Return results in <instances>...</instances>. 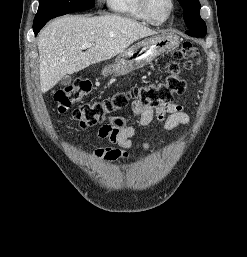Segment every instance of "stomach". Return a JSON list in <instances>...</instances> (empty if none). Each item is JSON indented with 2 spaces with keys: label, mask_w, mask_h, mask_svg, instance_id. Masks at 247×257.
Returning <instances> with one entry per match:
<instances>
[{
  "label": "stomach",
  "mask_w": 247,
  "mask_h": 257,
  "mask_svg": "<svg viewBox=\"0 0 247 257\" xmlns=\"http://www.w3.org/2000/svg\"><path fill=\"white\" fill-rule=\"evenodd\" d=\"M178 44V38L171 34L146 38L120 53L113 64L103 69L102 74L104 76L125 75L142 68L160 54L174 49Z\"/></svg>",
  "instance_id": "1"
}]
</instances>
